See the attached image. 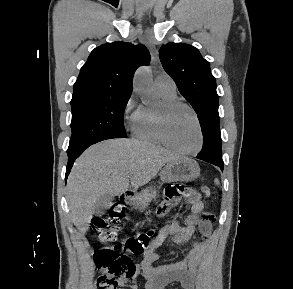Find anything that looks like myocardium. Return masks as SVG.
Returning a JSON list of instances; mask_svg holds the SVG:
<instances>
[{
    "mask_svg": "<svg viewBox=\"0 0 293 289\" xmlns=\"http://www.w3.org/2000/svg\"><path fill=\"white\" fill-rule=\"evenodd\" d=\"M180 107L186 108L191 112L197 125L198 144L193 150L186 151V150L177 148L170 141L167 134V118L172 111ZM156 122H157V132H158L159 138L162 144H164L167 148L184 156H194V155H197L202 150L203 144H204L203 129H202L199 116L191 105L178 99L163 101L161 106L156 111Z\"/></svg>",
    "mask_w": 293,
    "mask_h": 289,
    "instance_id": "obj_1",
    "label": "myocardium"
}]
</instances>
